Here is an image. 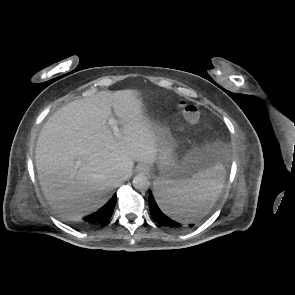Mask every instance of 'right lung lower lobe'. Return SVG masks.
Returning <instances> with one entry per match:
<instances>
[{"mask_svg": "<svg viewBox=\"0 0 295 295\" xmlns=\"http://www.w3.org/2000/svg\"><path fill=\"white\" fill-rule=\"evenodd\" d=\"M116 204V195L100 210L83 218L86 226H95L105 223L111 216Z\"/></svg>", "mask_w": 295, "mask_h": 295, "instance_id": "98d812e1", "label": "right lung lower lobe"}]
</instances>
